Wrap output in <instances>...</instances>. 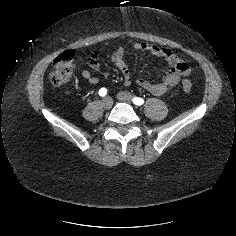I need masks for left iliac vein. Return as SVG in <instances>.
<instances>
[{"label":"left iliac vein","instance_id":"obj_1","mask_svg":"<svg viewBox=\"0 0 236 236\" xmlns=\"http://www.w3.org/2000/svg\"><path fill=\"white\" fill-rule=\"evenodd\" d=\"M117 98L120 101L126 102V103H131L132 102V95L127 92V91H122L117 94Z\"/></svg>","mask_w":236,"mask_h":236}]
</instances>
